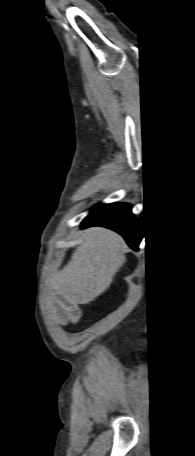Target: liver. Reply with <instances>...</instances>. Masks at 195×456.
I'll return each mask as SVG.
<instances>
[{
  "instance_id": "6515ba94",
  "label": "liver",
  "mask_w": 195,
  "mask_h": 456,
  "mask_svg": "<svg viewBox=\"0 0 195 456\" xmlns=\"http://www.w3.org/2000/svg\"><path fill=\"white\" fill-rule=\"evenodd\" d=\"M82 239L68 264L51 280L54 289L74 304L90 303L104 293L126 260L125 242L111 230L90 228Z\"/></svg>"
}]
</instances>
